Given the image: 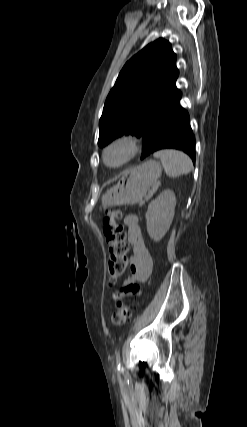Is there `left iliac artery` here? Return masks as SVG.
I'll return each mask as SVG.
<instances>
[{
  "mask_svg": "<svg viewBox=\"0 0 247 427\" xmlns=\"http://www.w3.org/2000/svg\"><path fill=\"white\" fill-rule=\"evenodd\" d=\"M116 364L118 366V369H120V367H121V360H120V350L119 349L116 351Z\"/></svg>",
  "mask_w": 247,
  "mask_h": 427,
  "instance_id": "obj_1",
  "label": "left iliac artery"
}]
</instances>
